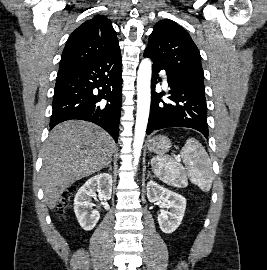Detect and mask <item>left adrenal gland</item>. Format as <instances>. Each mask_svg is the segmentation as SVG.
Returning <instances> with one entry per match:
<instances>
[{
    "mask_svg": "<svg viewBox=\"0 0 267 270\" xmlns=\"http://www.w3.org/2000/svg\"><path fill=\"white\" fill-rule=\"evenodd\" d=\"M149 177H153V176L151 175L150 170H148V175H147V178H149Z\"/></svg>",
    "mask_w": 267,
    "mask_h": 270,
    "instance_id": "1",
    "label": "left adrenal gland"
}]
</instances>
